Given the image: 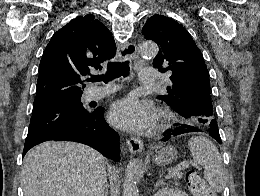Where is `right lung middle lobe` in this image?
<instances>
[{
    "mask_svg": "<svg viewBox=\"0 0 260 196\" xmlns=\"http://www.w3.org/2000/svg\"><path fill=\"white\" fill-rule=\"evenodd\" d=\"M91 114L92 111H88L82 106L81 96L33 105L27 137L81 123L87 120Z\"/></svg>",
    "mask_w": 260,
    "mask_h": 196,
    "instance_id": "dd1d6c3e",
    "label": "right lung middle lobe"
}]
</instances>
